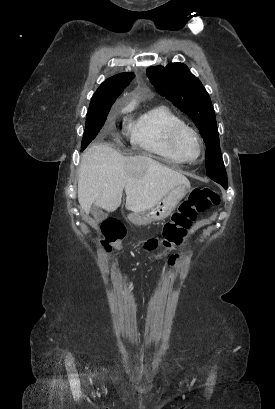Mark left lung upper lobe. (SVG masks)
Listing matches in <instances>:
<instances>
[{
    "instance_id": "left-lung-upper-lobe-1",
    "label": "left lung upper lobe",
    "mask_w": 275,
    "mask_h": 409,
    "mask_svg": "<svg viewBox=\"0 0 275 409\" xmlns=\"http://www.w3.org/2000/svg\"><path fill=\"white\" fill-rule=\"evenodd\" d=\"M147 76L156 90L185 112L197 125L206 144V172L215 182L227 185L222 160L215 112L210 97L199 81L183 63L147 69Z\"/></svg>"
}]
</instances>
